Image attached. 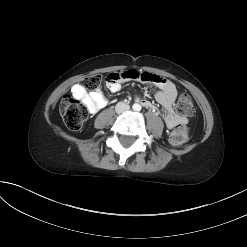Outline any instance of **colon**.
Here are the masks:
<instances>
[{
	"mask_svg": "<svg viewBox=\"0 0 247 247\" xmlns=\"http://www.w3.org/2000/svg\"><path fill=\"white\" fill-rule=\"evenodd\" d=\"M129 71V70H128ZM151 75V74H150ZM105 77L100 74H93L83 79L81 86L85 90L97 89ZM60 115L70 130H79L88 117L87 110L79 100L71 95H66L59 105ZM176 111L181 117L194 115L195 109L192 99L187 94H182L176 103ZM189 130L185 124H179L169 135V143L174 146L181 145L188 140Z\"/></svg>",
	"mask_w": 247,
	"mask_h": 247,
	"instance_id": "colon-1",
	"label": "colon"
}]
</instances>
